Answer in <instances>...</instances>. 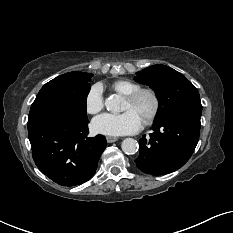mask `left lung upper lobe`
Instances as JSON below:
<instances>
[{
	"label": "left lung upper lobe",
	"mask_w": 233,
	"mask_h": 233,
	"mask_svg": "<svg viewBox=\"0 0 233 233\" xmlns=\"http://www.w3.org/2000/svg\"><path fill=\"white\" fill-rule=\"evenodd\" d=\"M135 81L151 87L159 100L156 119L180 110H200L199 92L180 72L165 66L153 65L136 73Z\"/></svg>",
	"instance_id": "obj_1"
}]
</instances>
